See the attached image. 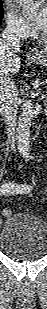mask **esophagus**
I'll return each mask as SVG.
<instances>
[{
    "label": "esophagus",
    "mask_w": 47,
    "mask_h": 309,
    "mask_svg": "<svg viewBox=\"0 0 47 309\" xmlns=\"http://www.w3.org/2000/svg\"><path fill=\"white\" fill-rule=\"evenodd\" d=\"M36 53H37V51L35 49H30L29 50V54H36Z\"/></svg>",
    "instance_id": "esophagus-1"
}]
</instances>
